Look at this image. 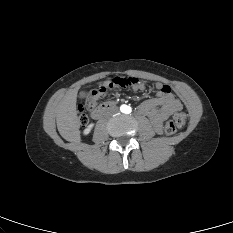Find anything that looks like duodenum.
I'll use <instances>...</instances> for the list:
<instances>
[{
  "mask_svg": "<svg viewBox=\"0 0 233 233\" xmlns=\"http://www.w3.org/2000/svg\"><path fill=\"white\" fill-rule=\"evenodd\" d=\"M114 107L113 102L104 103L96 108H94L91 112V116L93 119L101 118L108 110Z\"/></svg>",
  "mask_w": 233,
  "mask_h": 233,
  "instance_id": "410a0bca",
  "label": "duodenum"
}]
</instances>
